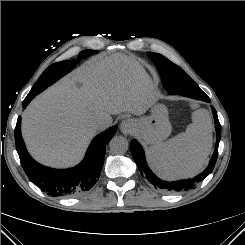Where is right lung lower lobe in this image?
<instances>
[{"instance_id": "right-lung-lower-lobe-1", "label": "right lung lower lobe", "mask_w": 245, "mask_h": 245, "mask_svg": "<svg viewBox=\"0 0 245 245\" xmlns=\"http://www.w3.org/2000/svg\"><path fill=\"white\" fill-rule=\"evenodd\" d=\"M32 99L26 97L22 107L25 108ZM117 127L113 126L96 136L86 153L84 160L76 167L58 170L37 163L26 150L21 135V117L15 128L16 150L21 165L35 185L51 196H74L89 190L98 180L103 167L106 145L113 138Z\"/></svg>"}]
</instances>
